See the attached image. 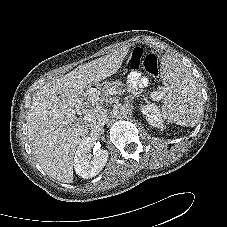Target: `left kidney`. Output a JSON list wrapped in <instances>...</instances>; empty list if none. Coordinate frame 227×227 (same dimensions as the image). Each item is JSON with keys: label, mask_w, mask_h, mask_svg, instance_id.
Segmentation results:
<instances>
[{"label": "left kidney", "mask_w": 227, "mask_h": 227, "mask_svg": "<svg viewBox=\"0 0 227 227\" xmlns=\"http://www.w3.org/2000/svg\"><path fill=\"white\" fill-rule=\"evenodd\" d=\"M140 110L150 125L163 128V120L160 116L159 109L154 104L142 105Z\"/></svg>", "instance_id": "1"}]
</instances>
